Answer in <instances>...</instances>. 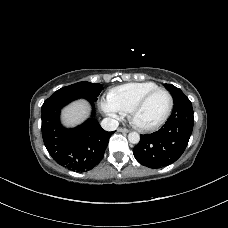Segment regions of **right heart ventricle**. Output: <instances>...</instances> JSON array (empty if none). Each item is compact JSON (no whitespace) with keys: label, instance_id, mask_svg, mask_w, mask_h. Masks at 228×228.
Masks as SVG:
<instances>
[{"label":"right heart ventricle","instance_id":"e07e8e85","mask_svg":"<svg viewBox=\"0 0 228 228\" xmlns=\"http://www.w3.org/2000/svg\"><path fill=\"white\" fill-rule=\"evenodd\" d=\"M159 86L151 81L127 83L113 88L108 93L110 102L122 113H128L131 107L147 92Z\"/></svg>","mask_w":228,"mask_h":228}]
</instances>
